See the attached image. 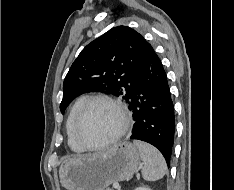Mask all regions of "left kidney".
Segmentation results:
<instances>
[{
    "mask_svg": "<svg viewBox=\"0 0 234 190\" xmlns=\"http://www.w3.org/2000/svg\"><path fill=\"white\" fill-rule=\"evenodd\" d=\"M134 190H152V189H150L149 187H137L136 189H134Z\"/></svg>",
    "mask_w": 234,
    "mask_h": 190,
    "instance_id": "obj_1",
    "label": "left kidney"
}]
</instances>
